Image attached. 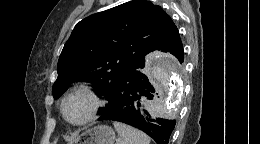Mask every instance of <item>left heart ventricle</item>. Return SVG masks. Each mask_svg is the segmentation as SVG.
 <instances>
[{"mask_svg":"<svg viewBox=\"0 0 260 144\" xmlns=\"http://www.w3.org/2000/svg\"><path fill=\"white\" fill-rule=\"evenodd\" d=\"M90 108V99L85 94H77L66 102L65 113L70 121L79 122L87 116Z\"/></svg>","mask_w":260,"mask_h":144,"instance_id":"b2bd125f","label":"left heart ventricle"}]
</instances>
